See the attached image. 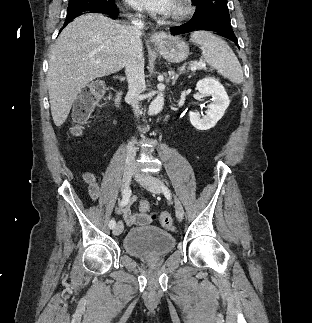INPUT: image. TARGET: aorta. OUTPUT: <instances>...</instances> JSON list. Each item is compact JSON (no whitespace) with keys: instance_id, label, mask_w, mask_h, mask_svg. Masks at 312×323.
Returning a JSON list of instances; mask_svg holds the SVG:
<instances>
[{"instance_id":"aorta-1","label":"aorta","mask_w":312,"mask_h":323,"mask_svg":"<svg viewBox=\"0 0 312 323\" xmlns=\"http://www.w3.org/2000/svg\"><path fill=\"white\" fill-rule=\"evenodd\" d=\"M158 90H159L158 96H156L155 100H153V102H151V104L149 106L150 114H159V112H161V110H163V106H164L163 90H164V88H158Z\"/></svg>"}]
</instances>
